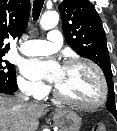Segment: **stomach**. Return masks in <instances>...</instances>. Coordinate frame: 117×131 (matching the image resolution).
<instances>
[{
  "label": "stomach",
  "instance_id": "stomach-1",
  "mask_svg": "<svg viewBox=\"0 0 117 131\" xmlns=\"http://www.w3.org/2000/svg\"><path fill=\"white\" fill-rule=\"evenodd\" d=\"M53 121L60 128V131H79L82 123L76 112L66 108L57 110Z\"/></svg>",
  "mask_w": 117,
  "mask_h": 131
}]
</instances>
